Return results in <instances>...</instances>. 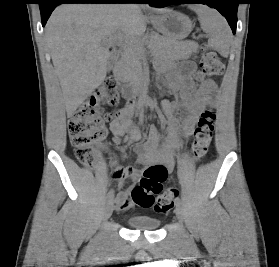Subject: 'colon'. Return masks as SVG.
Listing matches in <instances>:
<instances>
[{"mask_svg": "<svg viewBox=\"0 0 279 267\" xmlns=\"http://www.w3.org/2000/svg\"><path fill=\"white\" fill-rule=\"evenodd\" d=\"M200 39L202 34L195 33ZM200 55L201 72L198 78L203 76H219L224 71V65L218 55L202 46ZM120 100L117 82L113 78L102 83L89 98L79 106L69 118L68 132L71 145L75 150L77 160L88 168H95L98 157L95 145L106 135L105 122L120 116V111L106 113L104 108L114 106ZM216 114L212 108L205 109L194 130L191 145V154L194 161L202 159L211 144L214 132ZM165 170L158 166H148L139 184L131 192L133 202L143 208L154 207L157 212L167 213L173 206L179 195L177 187L162 188L165 181ZM158 195L157 198L154 196Z\"/></svg>", "mask_w": 279, "mask_h": 267, "instance_id": "1", "label": "colon"}]
</instances>
